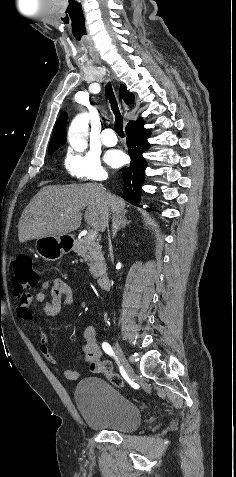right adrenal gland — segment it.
I'll use <instances>...</instances> for the list:
<instances>
[{
	"label": "right adrenal gland",
	"mask_w": 236,
	"mask_h": 477,
	"mask_svg": "<svg viewBox=\"0 0 236 477\" xmlns=\"http://www.w3.org/2000/svg\"><path fill=\"white\" fill-rule=\"evenodd\" d=\"M131 221L126 219V211L118 216H113V224H112V231H113V238L116 237L117 232L124 228L127 224H130Z\"/></svg>",
	"instance_id": "right-adrenal-gland-1"
}]
</instances>
